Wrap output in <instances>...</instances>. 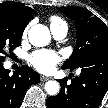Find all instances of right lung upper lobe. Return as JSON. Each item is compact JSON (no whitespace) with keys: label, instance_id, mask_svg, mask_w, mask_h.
I'll use <instances>...</instances> for the list:
<instances>
[{"label":"right lung upper lobe","instance_id":"right-lung-upper-lobe-1","mask_svg":"<svg viewBox=\"0 0 108 108\" xmlns=\"http://www.w3.org/2000/svg\"><path fill=\"white\" fill-rule=\"evenodd\" d=\"M0 10L14 11L19 20L22 21L24 25H27L35 14L32 8L19 2H4L0 4Z\"/></svg>","mask_w":108,"mask_h":108}]
</instances>
